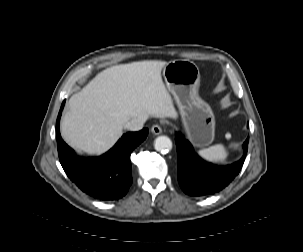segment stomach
<instances>
[{"mask_svg":"<svg viewBox=\"0 0 303 252\" xmlns=\"http://www.w3.org/2000/svg\"><path fill=\"white\" fill-rule=\"evenodd\" d=\"M163 77L180 110L188 139L196 146L209 145L214 139L215 117L198 94V66L184 59L169 61L163 68Z\"/></svg>","mask_w":303,"mask_h":252,"instance_id":"0dacf381","label":"stomach"}]
</instances>
